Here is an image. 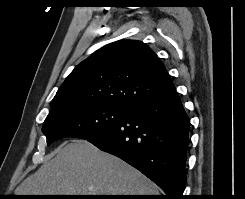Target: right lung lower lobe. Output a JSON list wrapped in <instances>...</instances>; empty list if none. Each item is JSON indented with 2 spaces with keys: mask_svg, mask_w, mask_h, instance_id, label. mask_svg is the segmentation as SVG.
Segmentation results:
<instances>
[{
  "mask_svg": "<svg viewBox=\"0 0 245 199\" xmlns=\"http://www.w3.org/2000/svg\"><path fill=\"white\" fill-rule=\"evenodd\" d=\"M189 118L178 93L136 106L116 124L88 139L155 182L165 199H183Z\"/></svg>",
  "mask_w": 245,
  "mask_h": 199,
  "instance_id": "obj_1",
  "label": "right lung lower lobe"
}]
</instances>
